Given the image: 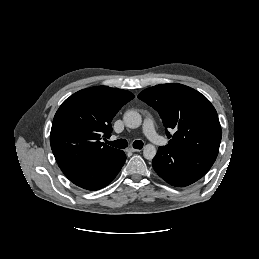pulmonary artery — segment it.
<instances>
[{
	"label": "pulmonary artery",
	"mask_w": 259,
	"mask_h": 259,
	"mask_svg": "<svg viewBox=\"0 0 259 259\" xmlns=\"http://www.w3.org/2000/svg\"><path fill=\"white\" fill-rule=\"evenodd\" d=\"M143 133L151 142L156 143V144L161 142V138L155 131L154 123H153L152 119H150V118H146L144 120Z\"/></svg>",
	"instance_id": "e3ab8cb5"
}]
</instances>
